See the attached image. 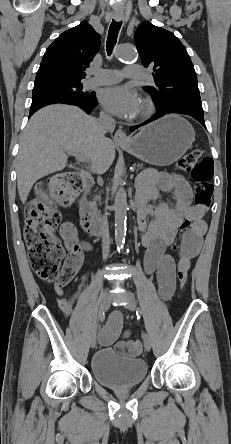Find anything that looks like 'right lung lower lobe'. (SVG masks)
Segmentation results:
<instances>
[{
    "instance_id": "right-lung-lower-lobe-1",
    "label": "right lung lower lobe",
    "mask_w": 231,
    "mask_h": 444,
    "mask_svg": "<svg viewBox=\"0 0 231 444\" xmlns=\"http://www.w3.org/2000/svg\"><path fill=\"white\" fill-rule=\"evenodd\" d=\"M55 103L76 105V106L82 108L87 113H90V111L97 105V100H96V98H94L90 101H74V100H70V99H61V98H44V99H40V100L32 102L29 117L32 116L40 108H42L46 105L55 104Z\"/></svg>"
}]
</instances>
